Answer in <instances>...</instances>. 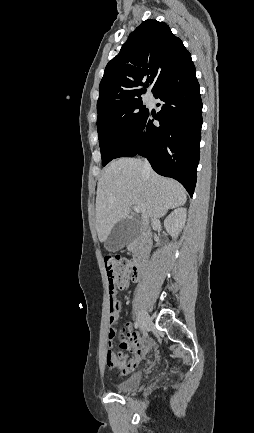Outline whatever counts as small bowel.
I'll return each mask as SVG.
<instances>
[{
	"label": "small bowel",
	"instance_id": "small-bowel-1",
	"mask_svg": "<svg viewBox=\"0 0 254 433\" xmlns=\"http://www.w3.org/2000/svg\"><path fill=\"white\" fill-rule=\"evenodd\" d=\"M129 285L126 287H118L119 290H127ZM110 294V292H109ZM110 301H116V290L113 289L111 296H109ZM121 312L120 304L117 302L115 307L110 309V335H114V322L117 320ZM112 315H116L113 318ZM129 324H126L125 329H129ZM122 331L123 339L120 343L121 351L114 353L112 351V345L109 344L108 351L106 354V363L109 367L116 368L121 375H127L135 370L138 366L142 357L149 351L151 344L149 342H143L141 338L130 330L125 332Z\"/></svg>",
	"mask_w": 254,
	"mask_h": 433
}]
</instances>
